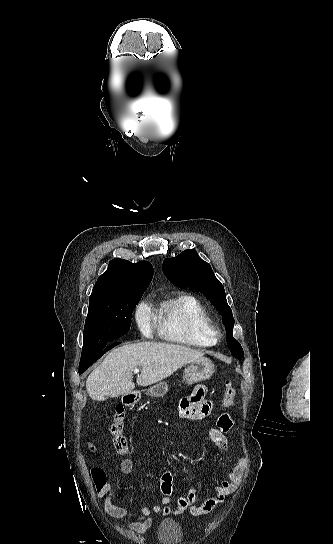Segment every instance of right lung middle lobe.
Instances as JSON below:
<instances>
[{"label":"right lung middle lobe","instance_id":"right-lung-middle-lobe-1","mask_svg":"<svg viewBox=\"0 0 333 544\" xmlns=\"http://www.w3.org/2000/svg\"><path fill=\"white\" fill-rule=\"evenodd\" d=\"M144 291L133 295L89 302L79 368L101 357L113 346L110 341L126 334L131 315Z\"/></svg>","mask_w":333,"mask_h":544}]
</instances>
